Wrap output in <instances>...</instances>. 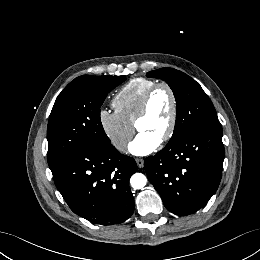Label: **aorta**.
Returning a JSON list of instances; mask_svg holds the SVG:
<instances>
[{
    "label": "aorta",
    "instance_id": "obj_1",
    "mask_svg": "<svg viewBox=\"0 0 260 260\" xmlns=\"http://www.w3.org/2000/svg\"><path fill=\"white\" fill-rule=\"evenodd\" d=\"M147 183V178L142 173H135L130 179V184L134 189H142Z\"/></svg>",
    "mask_w": 260,
    "mask_h": 260
}]
</instances>
